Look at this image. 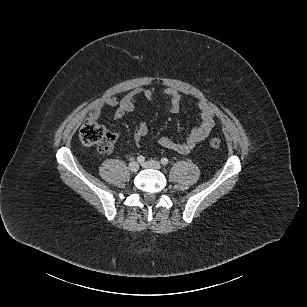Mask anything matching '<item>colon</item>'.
Segmentation results:
<instances>
[{"instance_id": "obj_1", "label": "colon", "mask_w": 307, "mask_h": 307, "mask_svg": "<svg viewBox=\"0 0 307 307\" xmlns=\"http://www.w3.org/2000/svg\"><path fill=\"white\" fill-rule=\"evenodd\" d=\"M79 137L81 142L86 146H96L102 154H109L116 142L117 136L109 132L104 126L99 124L95 119L89 118L80 128ZM221 143L217 138L210 140V146L218 149Z\"/></svg>"}]
</instances>
